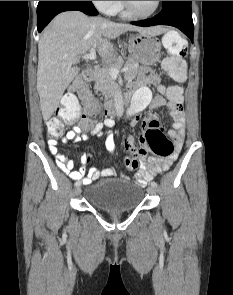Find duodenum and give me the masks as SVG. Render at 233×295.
I'll return each instance as SVG.
<instances>
[{
	"label": "duodenum",
	"instance_id": "410a0bca",
	"mask_svg": "<svg viewBox=\"0 0 233 295\" xmlns=\"http://www.w3.org/2000/svg\"><path fill=\"white\" fill-rule=\"evenodd\" d=\"M96 75V71L93 68H88L84 71L83 77H86L87 81H91L94 79ZM115 97H119L118 94L115 95ZM122 101L124 103L128 102L130 100V93L127 92L120 96ZM117 109V102L115 98L108 99L104 104V113L106 115H113L116 112Z\"/></svg>",
	"mask_w": 233,
	"mask_h": 295
}]
</instances>
